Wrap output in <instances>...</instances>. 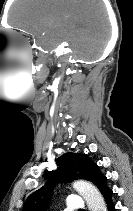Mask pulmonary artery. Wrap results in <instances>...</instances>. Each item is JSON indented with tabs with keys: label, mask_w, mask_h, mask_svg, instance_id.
<instances>
[{
	"label": "pulmonary artery",
	"mask_w": 133,
	"mask_h": 211,
	"mask_svg": "<svg viewBox=\"0 0 133 211\" xmlns=\"http://www.w3.org/2000/svg\"><path fill=\"white\" fill-rule=\"evenodd\" d=\"M67 211L82 210L84 208V200L79 195H70L66 202Z\"/></svg>",
	"instance_id": "1"
}]
</instances>
